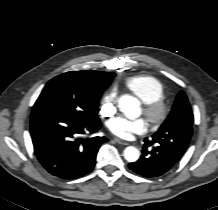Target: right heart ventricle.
<instances>
[{"label":"right heart ventricle","instance_id":"obj_1","mask_svg":"<svg viewBox=\"0 0 218 210\" xmlns=\"http://www.w3.org/2000/svg\"><path fill=\"white\" fill-rule=\"evenodd\" d=\"M124 85L144 103L161 99L164 95L161 82L150 75L129 77L125 80Z\"/></svg>","mask_w":218,"mask_h":210}]
</instances>
